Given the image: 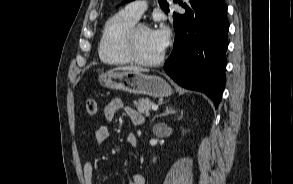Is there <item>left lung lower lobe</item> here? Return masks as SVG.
I'll return each mask as SVG.
<instances>
[{"mask_svg":"<svg viewBox=\"0 0 293 184\" xmlns=\"http://www.w3.org/2000/svg\"><path fill=\"white\" fill-rule=\"evenodd\" d=\"M185 14L174 13L175 43L165 72L179 85L201 91L218 107L225 86L228 47L224 0H190Z\"/></svg>","mask_w":293,"mask_h":184,"instance_id":"obj_1","label":"left lung lower lobe"}]
</instances>
